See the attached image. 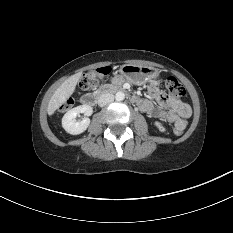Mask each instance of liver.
I'll return each mask as SVG.
<instances>
[{
  "mask_svg": "<svg viewBox=\"0 0 233 233\" xmlns=\"http://www.w3.org/2000/svg\"><path fill=\"white\" fill-rule=\"evenodd\" d=\"M81 77V73H76L65 80L60 87L56 89L50 101L48 103L47 112L48 115L54 114V112L64 104L67 99L74 93L76 85Z\"/></svg>",
  "mask_w": 233,
  "mask_h": 233,
  "instance_id": "obj_1",
  "label": "liver"
}]
</instances>
